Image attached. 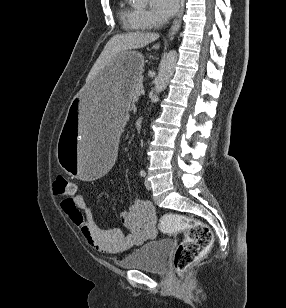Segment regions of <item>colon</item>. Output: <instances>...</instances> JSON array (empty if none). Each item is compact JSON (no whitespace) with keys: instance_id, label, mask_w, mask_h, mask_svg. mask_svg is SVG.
<instances>
[{"instance_id":"colon-1","label":"colon","mask_w":286,"mask_h":308,"mask_svg":"<svg viewBox=\"0 0 286 308\" xmlns=\"http://www.w3.org/2000/svg\"><path fill=\"white\" fill-rule=\"evenodd\" d=\"M53 192L58 196H71L75 184L66 177L59 176L53 183ZM160 229L165 233L184 232L185 238L178 245L174 255V268L184 273L194 262L200 259L213 242V233L204 223L179 214H164Z\"/></svg>"}]
</instances>
